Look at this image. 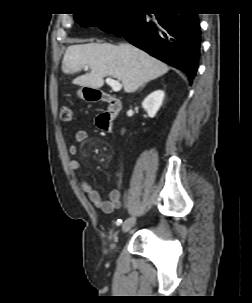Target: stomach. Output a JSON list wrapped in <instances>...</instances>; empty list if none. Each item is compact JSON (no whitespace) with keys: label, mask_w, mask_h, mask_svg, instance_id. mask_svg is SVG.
Listing matches in <instances>:
<instances>
[{"label":"stomach","mask_w":252,"mask_h":303,"mask_svg":"<svg viewBox=\"0 0 252 303\" xmlns=\"http://www.w3.org/2000/svg\"><path fill=\"white\" fill-rule=\"evenodd\" d=\"M87 91V88L86 87H84V88H81L80 90H78V92H77V94H78V96L80 97V98H82V99H85V92Z\"/></svg>","instance_id":"1"}]
</instances>
